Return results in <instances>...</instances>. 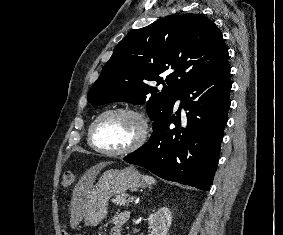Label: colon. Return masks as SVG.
Segmentation results:
<instances>
[{
	"label": "colon",
	"instance_id": "colon-1",
	"mask_svg": "<svg viewBox=\"0 0 283 235\" xmlns=\"http://www.w3.org/2000/svg\"><path fill=\"white\" fill-rule=\"evenodd\" d=\"M75 179V173L71 170H67L64 172L63 177H62V184L63 186L67 187L70 186Z\"/></svg>",
	"mask_w": 283,
	"mask_h": 235
}]
</instances>
